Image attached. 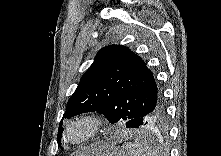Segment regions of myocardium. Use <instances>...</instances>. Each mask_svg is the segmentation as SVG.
<instances>
[{"mask_svg":"<svg viewBox=\"0 0 221 156\" xmlns=\"http://www.w3.org/2000/svg\"><path fill=\"white\" fill-rule=\"evenodd\" d=\"M106 124V119L100 113L94 111L83 112L64 123L60 138L66 146H83L100 137L106 129ZM78 128H84V133L73 136V131Z\"/></svg>","mask_w":221,"mask_h":156,"instance_id":"obj_1","label":"myocardium"}]
</instances>
